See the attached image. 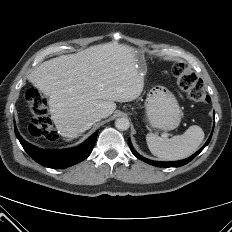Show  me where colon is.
I'll list each match as a JSON object with an SVG mask.
<instances>
[{
    "mask_svg": "<svg viewBox=\"0 0 232 232\" xmlns=\"http://www.w3.org/2000/svg\"><path fill=\"white\" fill-rule=\"evenodd\" d=\"M177 87L192 101L207 102L208 96L202 80L183 63H176L171 69ZM32 117L29 124V134L35 138L56 140L58 134L53 128L47 111V100L36 88H29L25 94Z\"/></svg>",
    "mask_w": 232,
    "mask_h": 232,
    "instance_id": "5ec220e1",
    "label": "colon"
}]
</instances>
